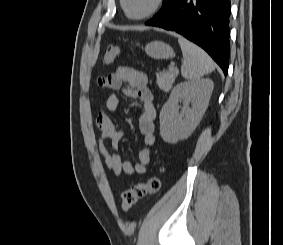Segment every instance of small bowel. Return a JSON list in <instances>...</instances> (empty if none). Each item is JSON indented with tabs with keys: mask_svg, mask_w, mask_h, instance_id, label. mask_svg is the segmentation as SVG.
Returning <instances> with one entry per match:
<instances>
[{
	"mask_svg": "<svg viewBox=\"0 0 283 245\" xmlns=\"http://www.w3.org/2000/svg\"><path fill=\"white\" fill-rule=\"evenodd\" d=\"M98 84L110 90L122 89L126 97L140 102L139 129L144 135L145 142V146L139 151V159L134 164L118 154L117 151L124 133L116 126L110 116L119 105L118 96L110 94L106 101L108 112H100L96 118L100 130V136L97 140L98 150L104 159L107 170L116 176L121 173L127 175L145 173L147 165L151 161V146L155 141L156 120L154 97L147 85L146 75L138 69L119 66L113 73L99 78Z\"/></svg>",
	"mask_w": 283,
	"mask_h": 245,
	"instance_id": "1",
	"label": "small bowel"
}]
</instances>
